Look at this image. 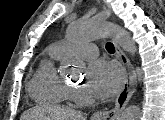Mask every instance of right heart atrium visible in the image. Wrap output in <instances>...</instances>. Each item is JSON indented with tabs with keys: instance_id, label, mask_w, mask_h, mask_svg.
<instances>
[{
	"instance_id": "1",
	"label": "right heart atrium",
	"mask_w": 165,
	"mask_h": 120,
	"mask_svg": "<svg viewBox=\"0 0 165 120\" xmlns=\"http://www.w3.org/2000/svg\"><path fill=\"white\" fill-rule=\"evenodd\" d=\"M74 95H75V97L78 98V99H80V98L83 97V93H82V91H80V90H75V91H74Z\"/></svg>"
}]
</instances>
